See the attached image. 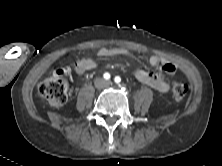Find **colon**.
Masks as SVG:
<instances>
[{
	"label": "colon",
	"instance_id": "colon-1",
	"mask_svg": "<svg viewBox=\"0 0 222 166\" xmlns=\"http://www.w3.org/2000/svg\"><path fill=\"white\" fill-rule=\"evenodd\" d=\"M38 92L53 107H60L65 104L68 92L66 72L61 68L55 70L49 77L40 82ZM171 92L175 100H181L186 96L188 86L181 81H174Z\"/></svg>",
	"mask_w": 222,
	"mask_h": 166
}]
</instances>
